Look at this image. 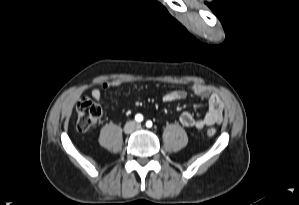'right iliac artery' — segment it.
Masks as SVG:
<instances>
[{
	"label": "right iliac artery",
	"instance_id": "1",
	"mask_svg": "<svg viewBox=\"0 0 299 205\" xmlns=\"http://www.w3.org/2000/svg\"><path fill=\"white\" fill-rule=\"evenodd\" d=\"M135 120H136L137 122H141V121L143 120V116H142L141 114H137V115L135 116Z\"/></svg>",
	"mask_w": 299,
	"mask_h": 205
}]
</instances>
